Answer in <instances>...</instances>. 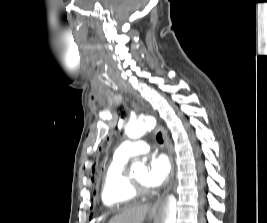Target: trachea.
I'll return each mask as SVG.
<instances>
[{
    "instance_id": "1",
    "label": "trachea",
    "mask_w": 267,
    "mask_h": 223,
    "mask_svg": "<svg viewBox=\"0 0 267 223\" xmlns=\"http://www.w3.org/2000/svg\"><path fill=\"white\" fill-rule=\"evenodd\" d=\"M157 142L162 144L163 143V138L161 132H159L156 136Z\"/></svg>"
}]
</instances>
